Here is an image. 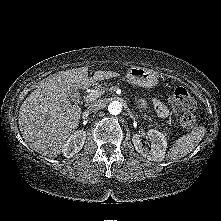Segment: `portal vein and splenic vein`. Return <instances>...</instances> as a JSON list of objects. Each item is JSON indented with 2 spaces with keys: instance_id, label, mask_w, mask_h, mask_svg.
Here are the masks:
<instances>
[{
  "instance_id": "portal-vein-and-splenic-vein-1",
  "label": "portal vein and splenic vein",
  "mask_w": 221,
  "mask_h": 221,
  "mask_svg": "<svg viewBox=\"0 0 221 221\" xmlns=\"http://www.w3.org/2000/svg\"><path fill=\"white\" fill-rule=\"evenodd\" d=\"M104 92L103 91H95L93 93H90L89 95L86 96L87 101H93L95 98L101 96Z\"/></svg>"
}]
</instances>
